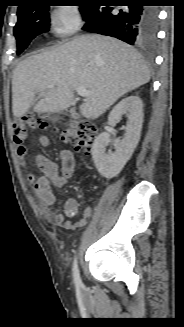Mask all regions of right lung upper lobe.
I'll return each instance as SVG.
<instances>
[{"label": "right lung upper lobe", "instance_id": "1", "mask_svg": "<svg viewBox=\"0 0 184 327\" xmlns=\"http://www.w3.org/2000/svg\"><path fill=\"white\" fill-rule=\"evenodd\" d=\"M42 0H20L21 5L18 8V11L28 8L34 4L41 2Z\"/></svg>", "mask_w": 184, "mask_h": 327}]
</instances>
